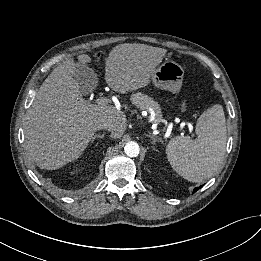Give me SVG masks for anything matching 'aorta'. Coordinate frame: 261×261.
Returning <instances> with one entry per match:
<instances>
[{"label": "aorta", "mask_w": 261, "mask_h": 261, "mask_svg": "<svg viewBox=\"0 0 261 261\" xmlns=\"http://www.w3.org/2000/svg\"><path fill=\"white\" fill-rule=\"evenodd\" d=\"M124 152L129 157H137L140 152L139 145L134 141H130L125 145Z\"/></svg>", "instance_id": "762f6f07"}]
</instances>
